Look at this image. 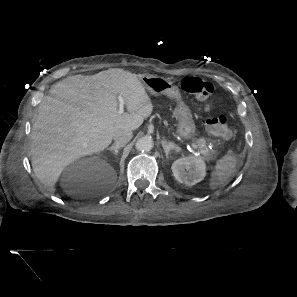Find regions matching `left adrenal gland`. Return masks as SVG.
Returning <instances> with one entry per match:
<instances>
[{
  "label": "left adrenal gland",
  "mask_w": 297,
  "mask_h": 297,
  "mask_svg": "<svg viewBox=\"0 0 297 297\" xmlns=\"http://www.w3.org/2000/svg\"><path fill=\"white\" fill-rule=\"evenodd\" d=\"M162 147L164 149L166 158H169V154L172 150H176L177 152L181 150V148L174 143L171 142H166V141H161Z\"/></svg>",
  "instance_id": "left-adrenal-gland-1"
}]
</instances>
